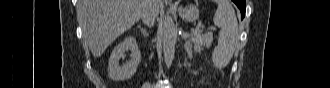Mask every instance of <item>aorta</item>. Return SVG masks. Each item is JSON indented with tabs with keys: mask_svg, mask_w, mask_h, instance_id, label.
Returning <instances> with one entry per match:
<instances>
[{
	"mask_svg": "<svg viewBox=\"0 0 330 88\" xmlns=\"http://www.w3.org/2000/svg\"><path fill=\"white\" fill-rule=\"evenodd\" d=\"M164 60L167 68L171 67L175 54V45L177 38V30L174 20L169 13L165 15L161 32Z\"/></svg>",
	"mask_w": 330,
	"mask_h": 88,
	"instance_id": "obj_1",
	"label": "aorta"
}]
</instances>
